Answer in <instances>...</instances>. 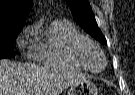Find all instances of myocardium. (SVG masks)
<instances>
[{
    "mask_svg": "<svg viewBox=\"0 0 135 95\" xmlns=\"http://www.w3.org/2000/svg\"><path fill=\"white\" fill-rule=\"evenodd\" d=\"M86 47H91L100 53V55L103 59V66L100 69H93L87 65V63L84 59V56H83V51ZM70 54H71L72 58L81 67H83L84 69L89 70L91 72H94V73H99V72L103 71L107 65V58H106L103 50L100 48V46L98 44H96L94 41H92L86 37L76 39L75 41L72 42V44L70 46Z\"/></svg>",
    "mask_w": 135,
    "mask_h": 95,
    "instance_id": "obj_1",
    "label": "myocardium"
}]
</instances>
